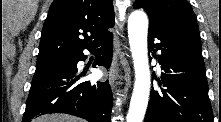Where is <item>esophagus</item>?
Listing matches in <instances>:
<instances>
[{
	"instance_id": "34e87169",
	"label": "esophagus",
	"mask_w": 221,
	"mask_h": 122,
	"mask_svg": "<svg viewBox=\"0 0 221 122\" xmlns=\"http://www.w3.org/2000/svg\"><path fill=\"white\" fill-rule=\"evenodd\" d=\"M125 71H126V69H125ZM118 73H119L118 63H117V61H114L112 64L110 73H109V81H110V85H111L112 89L115 88L114 81L117 79Z\"/></svg>"
}]
</instances>
